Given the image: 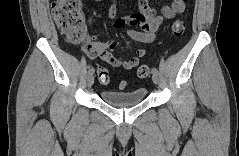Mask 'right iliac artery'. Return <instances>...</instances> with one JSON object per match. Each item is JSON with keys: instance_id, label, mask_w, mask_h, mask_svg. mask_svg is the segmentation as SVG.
Segmentation results:
<instances>
[{"instance_id": "1", "label": "right iliac artery", "mask_w": 239, "mask_h": 156, "mask_svg": "<svg viewBox=\"0 0 239 156\" xmlns=\"http://www.w3.org/2000/svg\"><path fill=\"white\" fill-rule=\"evenodd\" d=\"M94 73V68H89V70H88V74L90 75V74H93Z\"/></svg>"}]
</instances>
